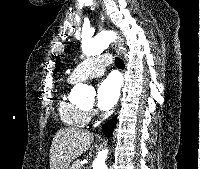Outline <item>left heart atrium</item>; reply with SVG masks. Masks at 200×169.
<instances>
[{"label": "left heart atrium", "instance_id": "left-heart-atrium-1", "mask_svg": "<svg viewBox=\"0 0 200 169\" xmlns=\"http://www.w3.org/2000/svg\"><path fill=\"white\" fill-rule=\"evenodd\" d=\"M121 82L116 76H109L104 79L97 89V105L103 110L112 109L120 96Z\"/></svg>", "mask_w": 200, "mask_h": 169}]
</instances>
